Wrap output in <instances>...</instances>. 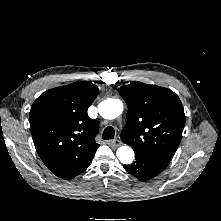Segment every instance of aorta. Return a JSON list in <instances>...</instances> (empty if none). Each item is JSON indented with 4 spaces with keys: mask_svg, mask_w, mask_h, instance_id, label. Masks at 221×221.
Returning a JSON list of instances; mask_svg holds the SVG:
<instances>
[{
    "mask_svg": "<svg viewBox=\"0 0 221 221\" xmlns=\"http://www.w3.org/2000/svg\"><path fill=\"white\" fill-rule=\"evenodd\" d=\"M99 114L105 119H115L123 111V104L119 99H106L98 106ZM117 158L123 164H131L134 160V151L129 146H121L116 151Z\"/></svg>",
    "mask_w": 221,
    "mask_h": 221,
    "instance_id": "obj_1",
    "label": "aorta"
}]
</instances>
